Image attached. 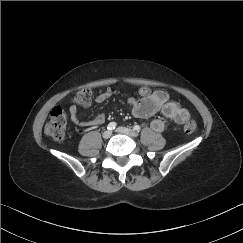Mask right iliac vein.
<instances>
[{"label": "right iliac vein", "mask_w": 243, "mask_h": 243, "mask_svg": "<svg viewBox=\"0 0 243 243\" xmlns=\"http://www.w3.org/2000/svg\"><path fill=\"white\" fill-rule=\"evenodd\" d=\"M111 135H112V132H111L110 130H106V131H104L103 134H102L103 138H105V139L110 138Z\"/></svg>", "instance_id": "63e3f726"}]
</instances>
